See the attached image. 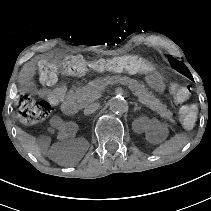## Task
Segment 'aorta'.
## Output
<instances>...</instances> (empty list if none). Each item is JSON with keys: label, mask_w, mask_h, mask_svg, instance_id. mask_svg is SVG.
<instances>
[{"label": "aorta", "mask_w": 211, "mask_h": 211, "mask_svg": "<svg viewBox=\"0 0 211 211\" xmlns=\"http://www.w3.org/2000/svg\"><path fill=\"white\" fill-rule=\"evenodd\" d=\"M110 110L116 114H123L128 110L126 100L118 97H113L109 100Z\"/></svg>", "instance_id": "aorta-1"}]
</instances>
